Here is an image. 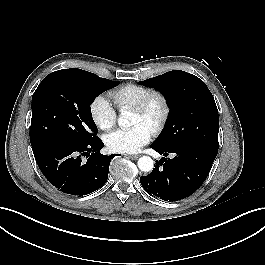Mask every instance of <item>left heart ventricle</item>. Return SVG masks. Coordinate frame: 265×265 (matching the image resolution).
I'll list each match as a JSON object with an SVG mask.
<instances>
[{
  "label": "left heart ventricle",
  "instance_id": "left-heart-ventricle-1",
  "mask_svg": "<svg viewBox=\"0 0 265 265\" xmlns=\"http://www.w3.org/2000/svg\"><path fill=\"white\" fill-rule=\"evenodd\" d=\"M159 113H160V105L158 102H155L150 107L148 114L146 116H142L135 112H132L131 125L135 126L138 124H142L151 130L152 123L157 118Z\"/></svg>",
  "mask_w": 265,
  "mask_h": 265
}]
</instances>
